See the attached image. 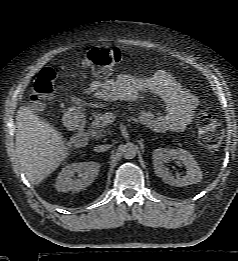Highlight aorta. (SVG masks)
Wrapping results in <instances>:
<instances>
[{
	"label": "aorta",
	"mask_w": 238,
	"mask_h": 261,
	"mask_svg": "<svg viewBox=\"0 0 238 261\" xmlns=\"http://www.w3.org/2000/svg\"><path fill=\"white\" fill-rule=\"evenodd\" d=\"M122 154L125 159H133L137 154V146L133 143H126L122 148Z\"/></svg>",
	"instance_id": "obj_1"
}]
</instances>
